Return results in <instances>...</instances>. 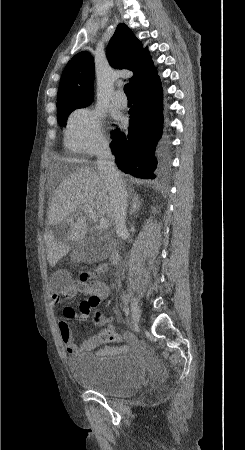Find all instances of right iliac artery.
<instances>
[{
    "label": "right iliac artery",
    "instance_id": "82829eb1",
    "mask_svg": "<svg viewBox=\"0 0 245 450\" xmlns=\"http://www.w3.org/2000/svg\"><path fill=\"white\" fill-rule=\"evenodd\" d=\"M124 312L127 316L129 315V309L127 307L124 308Z\"/></svg>",
    "mask_w": 245,
    "mask_h": 450
}]
</instances>
